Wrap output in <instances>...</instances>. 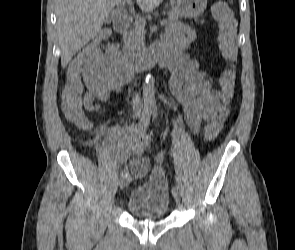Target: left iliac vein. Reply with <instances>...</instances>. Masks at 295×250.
I'll use <instances>...</instances> for the list:
<instances>
[{"instance_id":"left-iliac-vein-1","label":"left iliac vein","mask_w":295,"mask_h":250,"mask_svg":"<svg viewBox=\"0 0 295 250\" xmlns=\"http://www.w3.org/2000/svg\"><path fill=\"white\" fill-rule=\"evenodd\" d=\"M172 195H173L176 203L179 204L180 203V197H179L178 191L172 193Z\"/></svg>"}]
</instances>
